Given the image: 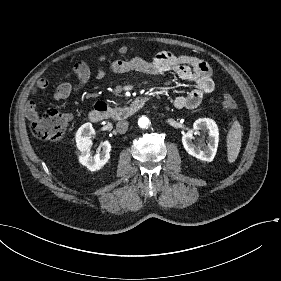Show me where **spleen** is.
<instances>
[{"mask_svg":"<svg viewBox=\"0 0 281 281\" xmlns=\"http://www.w3.org/2000/svg\"><path fill=\"white\" fill-rule=\"evenodd\" d=\"M242 140V128L238 121H234L227 135V158L233 163L240 152Z\"/></svg>","mask_w":281,"mask_h":281,"instance_id":"1","label":"spleen"}]
</instances>
